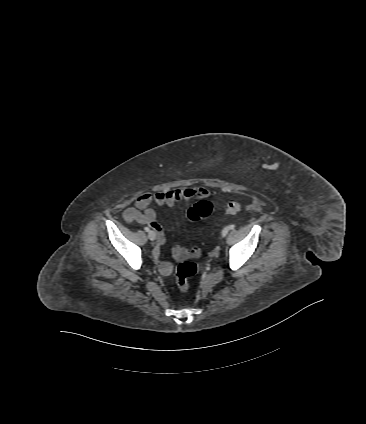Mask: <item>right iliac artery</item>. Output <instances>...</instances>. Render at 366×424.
<instances>
[{
	"mask_svg": "<svg viewBox=\"0 0 366 424\" xmlns=\"http://www.w3.org/2000/svg\"><path fill=\"white\" fill-rule=\"evenodd\" d=\"M144 229H145L146 232L150 231V229L148 227H145Z\"/></svg>",
	"mask_w": 366,
	"mask_h": 424,
	"instance_id": "82829eb1",
	"label": "right iliac artery"
}]
</instances>
